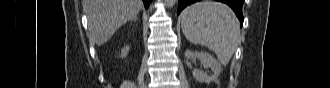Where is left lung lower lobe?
Here are the masks:
<instances>
[{"mask_svg": "<svg viewBox=\"0 0 330 88\" xmlns=\"http://www.w3.org/2000/svg\"><path fill=\"white\" fill-rule=\"evenodd\" d=\"M199 0H179L178 3V14L188 5L195 3ZM222 3H226L228 6L232 8L235 12L236 16L240 20L241 26L243 25L244 17L242 14V5L244 0H216Z\"/></svg>", "mask_w": 330, "mask_h": 88, "instance_id": "obj_1", "label": "left lung lower lobe"}]
</instances>
